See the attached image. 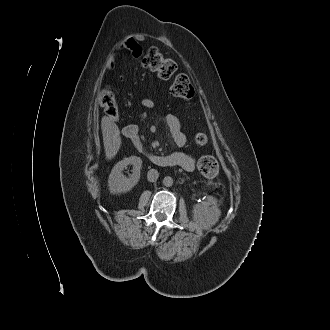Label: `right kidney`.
<instances>
[{
    "mask_svg": "<svg viewBox=\"0 0 330 330\" xmlns=\"http://www.w3.org/2000/svg\"><path fill=\"white\" fill-rule=\"evenodd\" d=\"M128 165H133L132 174L126 177L123 170ZM142 167V160L137 156H130L119 161L111 170L108 178V186L110 192L113 194L125 193L130 191L140 179V169Z\"/></svg>",
    "mask_w": 330,
    "mask_h": 330,
    "instance_id": "1",
    "label": "right kidney"
}]
</instances>
